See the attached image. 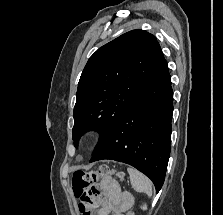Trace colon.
Instances as JSON below:
<instances>
[{
    "label": "colon",
    "mask_w": 223,
    "mask_h": 215,
    "mask_svg": "<svg viewBox=\"0 0 223 215\" xmlns=\"http://www.w3.org/2000/svg\"><path fill=\"white\" fill-rule=\"evenodd\" d=\"M109 175H115L118 178H122L123 174L109 169L107 166H102L97 172H85L76 171L72 177V187L75 195L82 199L87 191V189L100 177H106ZM128 215H134L133 213H128Z\"/></svg>",
    "instance_id": "5ec220e1"
}]
</instances>
